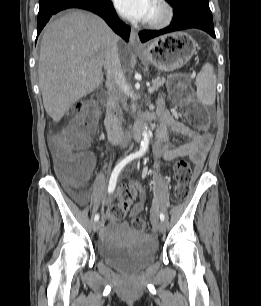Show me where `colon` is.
Segmentation results:
<instances>
[{"instance_id":"1","label":"colon","mask_w":261,"mask_h":306,"mask_svg":"<svg viewBox=\"0 0 261 306\" xmlns=\"http://www.w3.org/2000/svg\"><path fill=\"white\" fill-rule=\"evenodd\" d=\"M169 88L171 99L183 107L187 120L197 127H205L208 124V117L194 105L192 89L188 82L175 76L171 78ZM97 122V106L92 102L82 101L74 110L72 121L57 139L61 156L60 177L69 186L81 185L89 176V158L83 153V150L95 136ZM193 176L191 165L187 160L181 159L175 163L176 186L174 194L177 200H184L189 196ZM135 195L133 186L121 185L118 202L107 210L108 220L117 222L124 219L129 213ZM132 226L138 233L145 236H151L154 232L153 228L142 218H135L132 221Z\"/></svg>"}]
</instances>
